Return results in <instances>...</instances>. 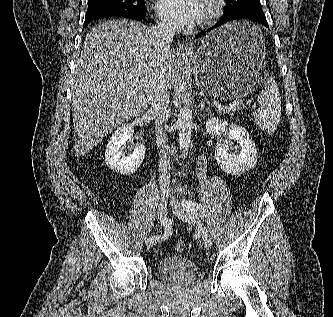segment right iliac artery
Here are the masks:
<instances>
[{
    "instance_id": "right-iliac-artery-1",
    "label": "right iliac artery",
    "mask_w": 333,
    "mask_h": 317,
    "mask_svg": "<svg viewBox=\"0 0 333 317\" xmlns=\"http://www.w3.org/2000/svg\"><path fill=\"white\" fill-rule=\"evenodd\" d=\"M163 227H164V234L163 235H156V236L152 235V236H150V238L155 239L156 242H159L160 240L169 238L172 234L171 226L166 221V222L163 223Z\"/></svg>"
}]
</instances>
